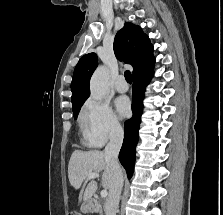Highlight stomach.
Listing matches in <instances>:
<instances>
[{"label":"stomach","mask_w":223,"mask_h":215,"mask_svg":"<svg viewBox=\"0 0 223 215\" xmlns=\"http://www.w3.org/2000/svg\"><path fill=\"white\" fill-rule=\"evenodd\" d=\"M93 207H94L93 201L84 202L81 205V211H83V213H89V211H92Z\"/></svg>","instance_id":"0dacf381"}]
</instances>
